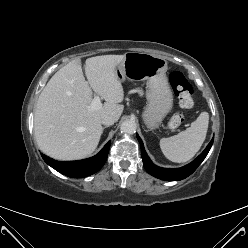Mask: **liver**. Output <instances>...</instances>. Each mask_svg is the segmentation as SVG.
Masks as SVG:
<instances>
[{"label": "liver", "instance_id": "liver-1", "mask_svg": "<svg viewBox=\"0 0 248 248\" xmlns=\"http://www.w3.org/2000/svg\"><path fill=\"white\" fill-rule=\"evenodd\" d=\"M125 55L88 58L83 75L81 60L57 71L41 92L34 115V133L42 152L57 160H77L91 155L100 141L104 116L117 121L124 109V89L116 67ZM93 91L105 100L91 108Z\"/></svg>", "mask_w": 248, "mask_h": 248}]
</instances>
